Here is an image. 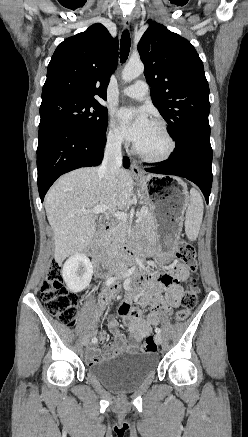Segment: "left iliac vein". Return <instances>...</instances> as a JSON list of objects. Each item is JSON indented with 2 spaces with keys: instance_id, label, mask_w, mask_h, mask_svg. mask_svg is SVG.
<instances>
[{
  "instance_id": "left-iliac-vein-1",
  "label": "left iliac vein",
  "mask_w": 248,
  "mask_h": 437,
  "mask_svg": "<svg viewBox=\"0 0 248 437\" xmlns=\"http://www.w3.org/2000/svg\"><path fill=\"white\" fill-rule=\"evenodd\" d=\"M154 338L158 345L162 343V335L160 333H156Z\"/></svg>"
}]
</instances>
